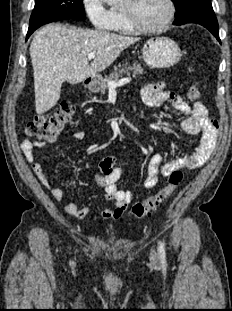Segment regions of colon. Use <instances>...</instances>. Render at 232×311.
Listing matches in <instances>:
<instances>
[{"mask_svg":"<svg viewBox=\"0 0 232 311\" xmlns=\"http://www.w3.org/2000/svg\"><path fill=\"white\" fill-rule=\"evenodd\" d=\"M200 98V90L196 86L189 88L187 92L188 102H196ZM74 113V106L69 102H63L61 106L49 116H36L27 126L30 136L52 141L70 122ZM183 174L180 170L173 171L167 185L151 197L133 204L130 215L135 218H143L151 214L159 205L167 201L180 185Z\"/></svg>","mask_w":232,"mask_h":311,"instance_id":"colon-1","label":"colon"}]
</instances>
